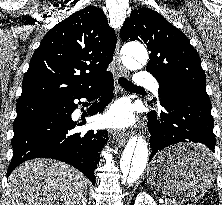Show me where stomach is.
<instances>
[{
    "mask_svg": "<svg viewBox=\"0 0 222 205\" xmlns=\"http://www.w3.org/2000/svg\"><path fill=\"white\" fill-rule=\"evenodd\" d=\"M205 151L200 145L184 144L158 153L147 169L149 185L157 192L185 202L202 198L213 184V165L190 162L188 157Z\"/></svg>",
    "mask_w": 222,
    "mask_h": 205,
    "instance_id": "stomach-1",
    "label": "stomach"
}]
</instances>
